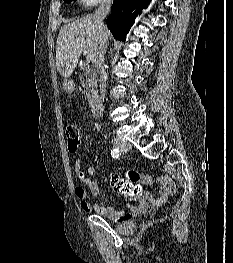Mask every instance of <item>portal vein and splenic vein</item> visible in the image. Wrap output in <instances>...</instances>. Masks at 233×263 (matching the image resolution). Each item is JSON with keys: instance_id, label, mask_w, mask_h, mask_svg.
Segmentation results:
<instances>
[{"instance_id": "1", "label": "portal vein and splenic vein", "mask_w": 233, "mask_h": 263, "mask_svg": "<svg viewBox=\"0 0 233 263\" xmlns=\"http://www.w3.org/2000/svg\"><path fill=\"white\" fill-rule=\"evenodd\" d=\"M94 55L93 54H88L87 56H86V59H87V61L88 62H93L94 61Z\"/></svg>"}]
</instances>
